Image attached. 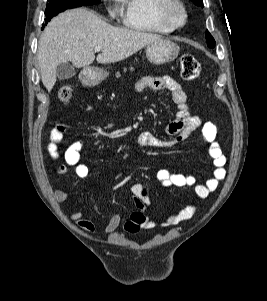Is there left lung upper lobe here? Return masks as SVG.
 I'll list each match as a JSON object with an SVG mask.
<instances>
[{
	"label": "left lung upper lobe",
	"mask_w": 267,
	"mask_h": 301,
	"mask_svg": "<svg viewBox=\"0 0 267 301\" xmlns=\"http://www.w3.org/2000/svg\"><path fill=\"white\" fill-rule=\"evenodd\" d=\"M191 1L199 7H203V0H191ZM206 42L208 47L210 48L215 47V40L208 31H206Z\"/></svg>",
	"instance_id": "5c2ea615"
}]
</instances>
